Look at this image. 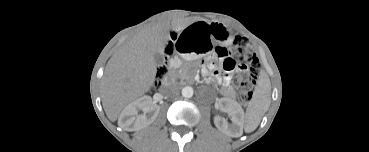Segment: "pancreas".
Wrapping results in <instances>:
<instances>
[{
    "label": "pancreas",
    "mask_w": 369,
    "mask_h": 152,
    "mask_svg": "<svg viewBox=\"0 0 369 152\" xmlns=\"http://www.w3.org/2000/svg\"><path fill=\"white\" fill-rule=\"evenodd\" d=\"M184 78L189 79V78H190V76H189L188 74H185V75H184ZM235 94H236V93H235V91H234V89H233L232 87H229V88L227 89V95H228L229 97L234 98Z\"/></svg>",
    "instance_id": "1"
}]
</instances>
